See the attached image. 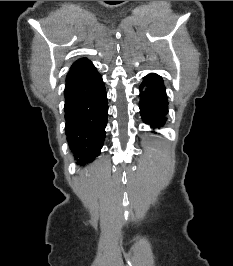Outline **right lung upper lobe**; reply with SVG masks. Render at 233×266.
<instances>
[{
    "label": "right lung upper lobe",
    "mask_w": 233,
    "mask_h": 266,
    "mask_svg": "<svg viewBox=\"0 0 233 266\" xmlns=\"http://www.w3.org/2000/svg\"><path fill=\"white\" fill-rule=\"evenodd\" d=\"M84 59V58H83ZM83 59H80L78 61H76L73 65H76L77 63H79L80 61H82Z\"/></svg>",
    "instance_id": "1"
}]
</instances>
